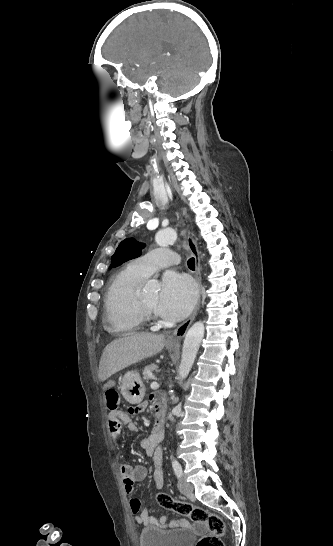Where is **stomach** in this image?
<instances>
[{"label": "stomach", "mask_w": 333, "mask_h": 546, "mask_svg": "<svg viewBox=\"0 0 333 546\" xmlns=\"http://www.w3.org/2000/svg\"><path fill=\"white\" fill-rule=\"evenodd\" d=\"M170 350H175L176 347L168 345ZM121 393L125 400L131 404H140L144 398L145 387L138 372H127L121 381Z\"/></svg>", "instance_id": "0dacf381"}]
</instances>
